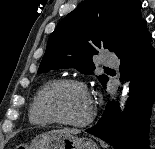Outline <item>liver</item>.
<instances>
[{
  "instance_id": "6515ba94",
  "label": "liver",
  "mask_w": 155,
  "mask_h": 149,
  "mask_svg": "<svg viewBox=\"0 0 155 149\" xmlns=\"http://www.w3.org/2000/svg\"><path fill=\"white\" fill-rule=\"evenodd\" d=\"M53 132L68 133V134L76 135L80 132V130L65 128V129H61V130H54Z\"/></svg>"
}]
</instances>
